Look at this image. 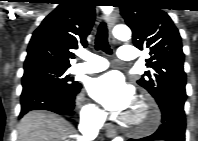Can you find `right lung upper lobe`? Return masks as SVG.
<instances>
[{"mask_svg": "<svg viewBox=\"0 0 198 141\" xmlns=\"http://www.w3.org/2000/svg\"><path fill=\"white\" fill-rule=\"evenodd\" d=\"M95 20L93 0H63L34 31L24 63L25 72L40 68H69L73 49L86 46Z\"/></svg>", "mask_w": 198, "mask_h": 141, "instance_id": "obj_1", "label": "right lung upper lobe"}]
</instances>
